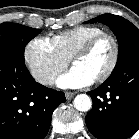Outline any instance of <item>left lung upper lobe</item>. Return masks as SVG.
Segmentation results:
<instances>
[{
	"mask_svg": "<svg viewBox=\"0 0 139 139\" xmlns=\"http://www.w3.org/2000/svg\"><path fill=\"white\" fill-rule=\"evenodd\" d=\"M95 22L107 25L118 40L119 53L115 68L124 63L132 55L139 54V30L131 22L118 15L103 14L85 23Z\"/></svg>",
	"mask_w": 139,
	"mask_h": 139,
	"instance_id": "obj_1",
	"label": "left lung upper lobe"
}]
</instances>
